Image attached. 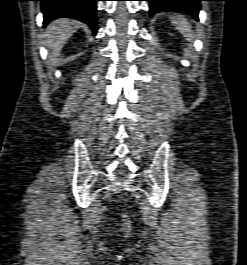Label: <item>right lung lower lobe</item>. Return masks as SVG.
<instances>
[{
	"label": "right lung lower lobe",
	"instance_id": "right-lung-lower-lobe-1",
	"mask_svg": "<svg viewBox=\"0 0 247 265\" xmlns=\"http://www.w3.org/2000/svg\"><path fill=\"white\" fill-rule=\"evenodd\" d=\"M44 15V25L56 18L68 17L90 26L93 34L97 33L98 0H39Z\"/></svg>",
	"mask_w": 247,
	"mask_h": 265
}]
</instances>
